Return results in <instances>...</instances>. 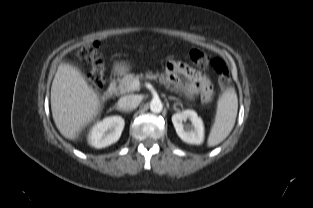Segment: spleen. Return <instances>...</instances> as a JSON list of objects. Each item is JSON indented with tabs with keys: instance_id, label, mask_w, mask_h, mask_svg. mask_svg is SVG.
<instances>
[{
	"instance_id": "obj_1",
	"label": "spleen",
	"mask_w": 313,
	"mask_h": 208,
	"mask_svg": "<svg viewBox=\"0 0 313 208\" xmlns=\"http://www.w3.org/2000/svg\"><path fill=\"white\" fill-rule=\"evenodd\" d=\"M238 111V98L234 88H229L219 97L214 124L207 144L216 146L225 140L232 131Z\"/></svg>"
}]
</instances>
